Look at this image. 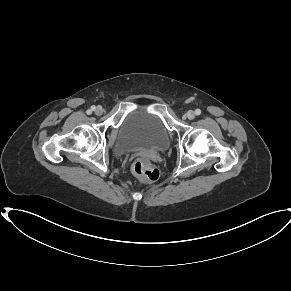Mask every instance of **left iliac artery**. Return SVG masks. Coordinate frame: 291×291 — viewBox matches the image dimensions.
<instances>
[{
  "instance_id": "left-iliac-artery-1",
  "label": "left iliac artery",
  "mask_w": 291,
  "mask_h": 291,
  "mask_svg": "<svg viewBox=\"0 0 291 291\" xmlns=\"http://www.w3.org/2000/svg\"><path fill=\"white\" fill-rule=\"evenodd\" d=\"M195 114H196V115H200V114H201V110H200V109H196V110H195Z\"/></svg>"
}]
</instances>
